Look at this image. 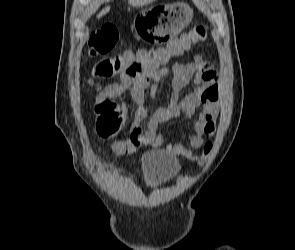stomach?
Instances as JSON below:
<instances>
[{
  "instance_id": "stomach-1",
  "label": "stomach",
  "mask_w": 295,
  "mask_h": 250,
  "mask_svg": "<svg viewBox=\"0 0 295 250\" xmlns=\"http://www.w3.org/2000/svg\"><path fill=\"white\" fill-rule=\"evenodd\" d=\"M193 19V9L185 3L158 4L136 15V35L147 45H164Z\"/></svg>"
}]
</instances>
